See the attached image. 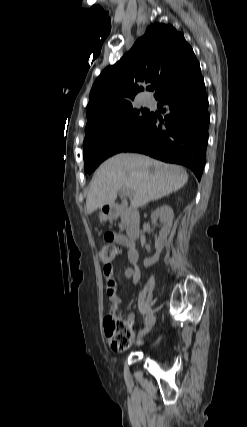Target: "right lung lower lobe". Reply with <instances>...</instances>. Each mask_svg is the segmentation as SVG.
I'll list each match as a JSON object with an SVG mask.
<instances>
[{
  "mask_svg": "<svg viewBox=\"0 0 247 427\" xmlns=\"http://www.w3.org/2000/svg\"><path fill=\"white\" fill-rule=\"evenodd\" d=\"M164 106V107H163ZM164 119L153 114L146 131L123 152H137L184 165L200 180L208 144V97L201 70L158 99Z\"/></svg>",
  "mask_w": 247,
  "mask_h": 427,
  "instance_id": "1",
  "label": "right lung lower lobe"
}]
</instances>
